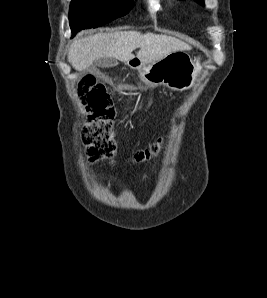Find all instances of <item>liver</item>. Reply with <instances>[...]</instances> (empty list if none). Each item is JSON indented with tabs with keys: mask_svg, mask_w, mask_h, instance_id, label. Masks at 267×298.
I'll return each instance as SVG.
<instances>
[{
	"mask_svg": "<svg viewBox=\"0 0 267 298\" xmlns=\"http://www.w3.org/2000/svg\"><path fill=\"white\" fill-rule=\"evenodd\" d=\"M137 48L136 57L144 63H155L173 52L191 49L185 42L167 35L118 31L76 38L71 44L68 61L75 70L83 71L102 58L129 62L135 58L132 52Z\"/></svg>",
	"mask_w": 267,
	"mask_h": 298,
	"instance_id": "liver-1",
	"label": "liver"
}]
</instances>
